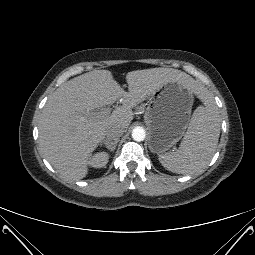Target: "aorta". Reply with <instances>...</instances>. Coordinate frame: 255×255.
Returning a JSON list of instances; mask_svg holds the SVG:
<instances>
[{
    "mask_svg": "<svg viewBox=\"0 0 255 255\" xmlns=\"http://www.w3.org/2000/svg\"><path fill=\"white\" fill-rule=\"evenodd\" d=\"M145 136L146 132L142 127H135L132 130V138L137 142L143 141L145 139Z\"/></svg>",
    "mask_w": 255,
    "mask_h": 255,
    "instance_id": "obj_1",
    "label": "aorta"
}]
</instances>
